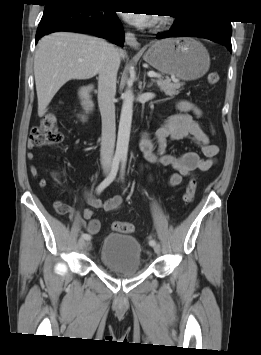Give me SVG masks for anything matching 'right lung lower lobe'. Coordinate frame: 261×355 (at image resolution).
<instances>
[{
	"label": "right lung lower lobe",
	"instance_id": "98d812e1",
	"mask_svg": "<svg viewBox=\"0 0 261 355\" xmlns=\"http://www.w3.org/2000/svg\"><path fill=\"white\" fill-rule=\"evenodd\" d=\"M44 5L36 43L47 33L68 31L92 34L123 46V27L116 13L104 9V5L87 0H50Z\"/></svg>",
	"mask_w": 261,
	"mask_h": 355
}]
</instances>
